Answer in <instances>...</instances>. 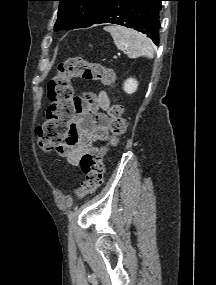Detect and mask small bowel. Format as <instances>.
<instances>
[{"mask_svg":"<svg viewBox=\"0 0 216 285\" xmlns=\"http://www.w3.org/2000/svg\"><path fill=\"white\" fill-rule=\"evenodd\" d=\"M76 103L70 130L57 149L70 164L79 167L81 157L108 138L109 117L105 111L110 106V99L105 91H100L76 97Z\"/></svg>","mask_w":216,"mask_h":285,"instance_id":"obj_1","label":"small bowel"}]
</instances>
